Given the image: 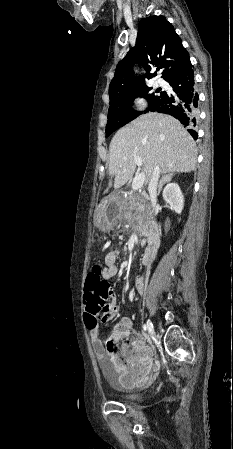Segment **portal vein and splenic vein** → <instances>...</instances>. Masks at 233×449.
Returning <instances> with one entry per match:
<instances>
[{"instance_id":"obj_1","label":"portal vein and splenic vein","mask_w":233,"mask_h":449,"mask_svg":"<svg viewBox=\"0 0 233 449\" xmlns=\"http://www.w3.org/2000/svg\"><path fill=\"white\" fill-rule=\"evenodd\" d=\"M134 162L136 163V165L138 166H142V159L138 156L134 157ZM145 181V174L144 173H139L135 176V178L133 179L132 182V190L133 191H137L140 188H142L143 184Z\"/></svg>"}]
</instances>
